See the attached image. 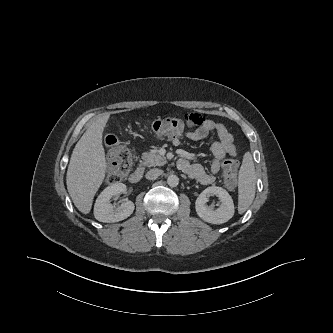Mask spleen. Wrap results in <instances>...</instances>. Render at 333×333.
Instances as JSON below:
<instances>
[{
    "instance_id": "obj_1",
    "label": "spleen",
    "mask_w": 333,
    "mask_h": 333,
    "mask_svg": "<svg viewBox=\"0 0 333 333\" xmlns=\"http://www.w3.org/2000/svg\"><path fill=\"white\" fill-rule=\"evenodd\" d=\"M255 166L252 155L248 152L244 155L238 176V212L244 213L255 198Z\"/></svg>"
}]
</instances>
